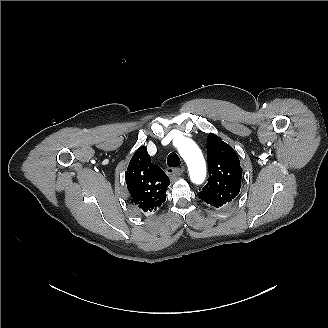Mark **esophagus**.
Wrapping results in <instances>:
<instances>
[{
    "label": "esophagus",
    "instance_id": "1",
    "mask_svg": "<svg viewBox=\"0 0 328 328\" xmlns=\"http://www.w3.org/2000/svg\"><path fill=\"white\" fill-rule=\"evenodd\" d=\"M182 169L180 168H173V167H168L166 169V174L171 177V178H174V177H177V176H180L182 174Z\"/></svg>",
    "mask_w": 328,
    "mask_h": 328
}]
</instances>
